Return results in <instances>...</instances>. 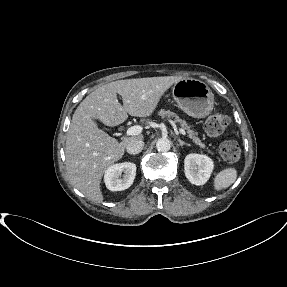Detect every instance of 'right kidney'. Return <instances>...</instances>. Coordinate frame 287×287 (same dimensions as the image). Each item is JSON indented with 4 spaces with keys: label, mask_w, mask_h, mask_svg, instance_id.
Segmentation results:
<instances>
[{
    "label": "right kidney",
    "mask_w": 287,
    "mask_h": 287,
    "mask_svg": "<svg viewBox=\"0 0 287 287\" xmlns=\"http://www.w3.org/2000/svg\"><path fill=\"white\" fill-rule=\"evenodd\" d=\"M135 175L136 165L134 163H118L110 166L106 170L104 182L109 190L121 191L129 188L133 184Z\"/></svg>",
    "instance_id": "right-kidney-1"
}]
</instances>
